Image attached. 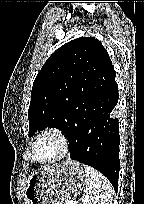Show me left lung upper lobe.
Here are the masks:
<instances>
[{
  "label": "left lung upper lobe",
  "instance_id": "left-lung-upper-lobe-1",
  "mask_svg": "<svg viewBox=\"0 0 144 204\" xmlns=\"http://www.w3.org/2000/svg\"><path fill=\"white\" fill-rule=\"evenodd\" d=\"M110 61L101 42L93 37L78 38L57 49L33 84L29 137L46 127L59 128L67 139L75 133L94 73Z\"/></svg>",
  "mask_w": 144,
  "mask_h": 204
}]
</instances>
